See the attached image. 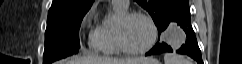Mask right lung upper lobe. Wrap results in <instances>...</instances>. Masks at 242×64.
I'll use <instances>...</instances> for the list:
<instances>
[{
    "instance_id": "obj_1",
    "label": "right lung upper lobe",
    "mask_w": 242,
    "mask_h": 64,
    "mask_svg": "<svg viewBox=\"0 0 242 64\" xmlns=\"http://www.w3.org/2000/svg\"><path fill=\"white\" fill-rule=\"evenodd\" d=\"M94 0H53L48 18L73 16L87 12Z\"/></svg>"
}]
</instances>
